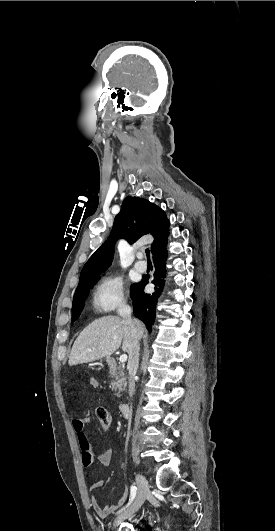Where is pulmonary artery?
<instances>
[{
	"mask_svg": "<svg viewBox=\"0 0 275 531\" xmlns=\"http://www.w3.org/2000/svg\"><path fill=\"white\" fill-rule=\"evenodd\" d=\"M145 256V252H144V249L143 248H140L138 253H137V257L139 258V261H137L135 264H134V268L139 271V272H144L147 270V264L145 261H143V258Z\"/></svg>",
	"mask_w": 275,
	"mask_h": 531,
	"instance_id": "pulmonary-artery-1",
	"label": "pulmonary artery"
}]
</instances>
